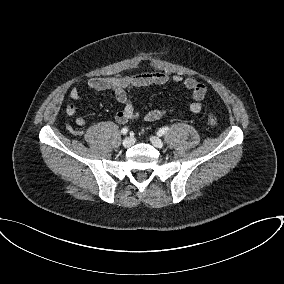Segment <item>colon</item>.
Masks as SVG:
<instances>
[{
	"mask_svg": "<svg viewBox=\"0 0 284 284\" xmlns=\"http://www.w3.org/2000/svg\"><path fill=\"white\" fill-rule=\"evenodd\" d=\"M208 122L211 126H216L217 125V119L213 114L208 115Z\"/></svg>",
	"mask_w": 284,
	"mask_h": 284,
	"instance_id": "colon-1",
	"label": "colon"
}]
</instances>
